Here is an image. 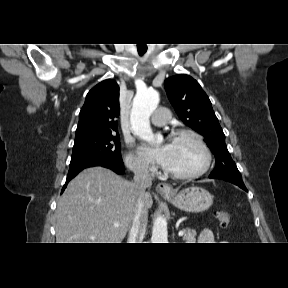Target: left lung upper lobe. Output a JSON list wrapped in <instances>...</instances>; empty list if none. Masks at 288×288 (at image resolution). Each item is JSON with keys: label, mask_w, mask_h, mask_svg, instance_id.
Segmentation results:
<instances>
[{"label": "left lung upper lobe", "mask_w": 288, "mask_h": 288, "mask_svg": "<svg viewBox=\"0 0 288 288\" xmlns=\"http://www.w3.org/2000/svg\"><path fill=\"white\" fill-rule=\"evenodd\" d=\"M164 87L179 118L205 137L216 158L211 178L243 182L225 144V135L213 111L212 104L200 84L186 74L167 78Z\"/></svg>", "instance_id": "1"}]
</instances>
